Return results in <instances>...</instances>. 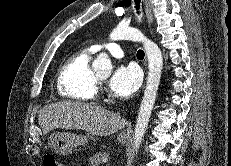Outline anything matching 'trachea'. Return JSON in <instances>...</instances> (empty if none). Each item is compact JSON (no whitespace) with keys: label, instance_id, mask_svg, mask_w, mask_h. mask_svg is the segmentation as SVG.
I'll list each match as a JSON object with an SVG mask.
<instances>
[{"label":"trachea","instance_id":"obj_1","mask_svg":"<svg viewBox=\"0 0 231 166\" xmlns=\"http://www.w3.org/2000/svg\"><path fill=\"white\" fill-rule=\"evenodd\" d=\"M134 2H135V8L137 10V13L139 14L140 0H134ZM144 55H145V53L143 50L140 49L137 51V58L138 59H143Z\"/></svg>","mask_w":231,"mask_h":166}]
</instances>
